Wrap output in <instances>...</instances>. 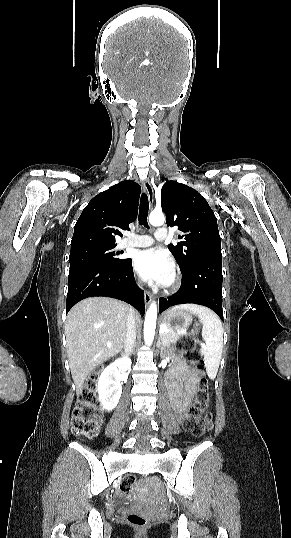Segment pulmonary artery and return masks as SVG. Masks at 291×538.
Here are the masks:
<instances>
[{"mask_svg": "<svg viewBox=\"0 0 291 538\" xmlns=\"http://www.w3.org/2000/svg\"><path fill=\"white\" fill-rule=\"evenodd\" d=\"M167 237V230L165 228H159L156 230L155 238L158 241H162ZM154 243L152 237L148 235L135 236L133 238L125 239L122 241V247H149Z\"/></svg>", "mask_w": 291, "mask_h": 538, "instance_id": "1", "label": "pulmonary artery"}]
</instances>
